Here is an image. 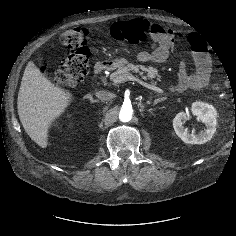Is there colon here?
I'll return each instance as SVG.
<instances>
[{
	"label": "colon",
	"mask_w": 236,
	"mask_h": 236,
	"mask_svg": "<svg viewBox=\"0 0 236 236\" xmlns=\"http://www.w3.org/2000/svg\"><path fill=\"white\" fill-rule=\"evenodd\" d=\"M151 30V24L142 19H133L115 23L111 29L112 37L118 41L129 44H140ZM88 31L83 27H75L63 32L60 42L63 46L72 50L58 67L51 73L52 80L67 88H74L82 82L88 72L90 51L87 44ZM234 87L233 82L219 79L214 84L217 91Z\"/></svg>",
	"instance_id": "obj_1"
}]
</instances>
